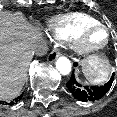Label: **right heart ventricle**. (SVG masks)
<instances>
[{"label":"right heart ventricle","mask_w":117,"mask_h":117,"mask_svg":"<svg viewBox=\"0 0 117 117\" xmlns=\"http://www.w3.org/2000/svg\"><path fill=\"white\" fill-rule=\"evenodd\" d=\"M95 23L99 21L89 14L69 12L52 18L48 22V29L57 39L69 40L86 26Z\"/></svg>","instance_id":"right-heart-ventricle-1"}]
</instances>
